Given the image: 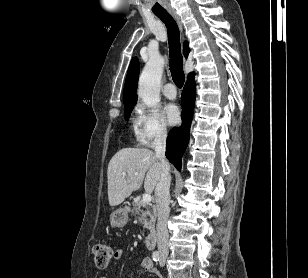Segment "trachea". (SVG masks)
I'll return each instance as SVG.
<instances>
[{
	"label": "trachea",
	"mask_w": 308,
	"mask_h": 278,
	"mask_svg": "<svg viewBox=\"0 0 308 278\" xmlns=\"http://www.w3.org/2000/svg\"><path fill=\"white\" fill-rule=\"evenodd\" d=\"M165 23L168 33L170 71L174 83L181 88L185 81L183 58L181 54L179 28L173 17L167 12L155 13Z\"/></svg>",
	"instance_id": "obj_1"
}]
</instances>
